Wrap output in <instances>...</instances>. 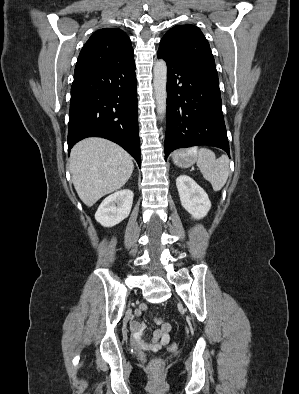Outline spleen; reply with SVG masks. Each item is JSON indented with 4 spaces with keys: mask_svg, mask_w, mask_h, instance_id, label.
<instances>
[{
    "mask_svg": "<svg viewBox=\"0 0 299 394\" xmlns=\"http://www.w3.org/2000/svg\"><path fill=\"white\" fill-rule=\"evenodd\" d=\"M197 155V166L203 177L209 181L214 191H220L229 175V158L222 155L216 159L215 153L207 148L189 150Z\"/></svg>",
    "mask_w": 299,
    "mask_h": 394,
    "instance_id": "obj_1",
    "label": "spleen"
}]
</instances>
